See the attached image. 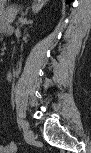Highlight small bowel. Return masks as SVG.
<instances>
[{
	"label": "small bowel",
	"instance_id": "1",
	"mask_svg": "<svg viewBox=\"0 0 91 153\" xmlns=\"http://www.w3.org/2000/svg\"><path fill=\"white\" fill-rule=\"evenodd\" d=\"M2 153H15L16 152V145L13 142H9L4 144L0 148Z\"/></svg>",
	"mask_w": 91,
	"mask_h": 153
}]
</instances>
